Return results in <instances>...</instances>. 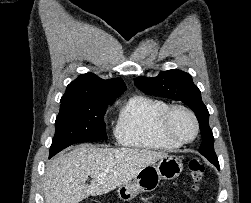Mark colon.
Wrapping results in <instances>:
<instances>
[{"instance_id": "5ec220e1", "label": "colon", "mask_w": 251, "mask_h": 203, "mask_svg": "<svg viewBox=\"0 0 251 203\" xmlns=\"http://www.w3.org/2000/svg\"><path fill=\"white\" fill-rule=\"evenodd\" d=\"M188 168L193 182V188L196 189L204 176L205 165L199 160H191Z\"/></svg>"}]
</instances>
